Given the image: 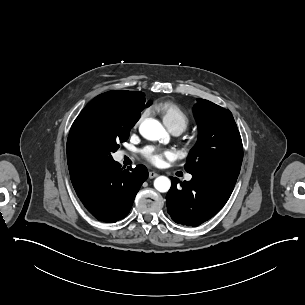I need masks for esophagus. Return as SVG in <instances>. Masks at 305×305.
Segmentation results:
<instances>
[{"instance_id":"obj_1","label":"esophagus","mask_w":305,"mask_h":305,"mask_svg":"<svg viewBox=\"0 0 305 305\" xmlns=\"http://www.w3.org/2000/svg\"><path fill=\"white\" fill-rule=\"evenodd\" d=\"M157 176H158V174L155 173L154 171H150V172H149V179H153V178H155V177H157Z\"/></svg>"}]
</instances>
